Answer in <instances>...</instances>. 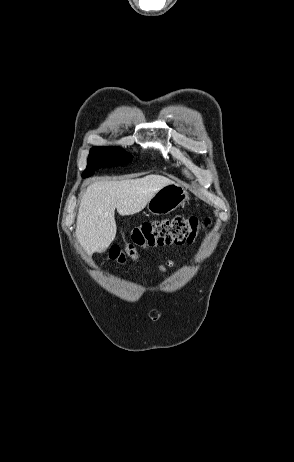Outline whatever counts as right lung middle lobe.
Wrapping results in <instances>:
<instances>
[{"label":"right lung middle lobe","instance_id":"right-lung-middle-lobe-1","mask_svg":"<svg viewBox=\"0 0 294 462\" xmlns=\"http://www.w3.org/2000/svg\"><path fill=\"white\" fill-rule=\"evenodd\" d=\"M96 154L106 155L114 159L116 162L120 164H127L128 162L131 161V156L128 153H126L124 150L118 147H97L95 146L91 149L89 158L95 156ZM86 170L83 173H86L87 172Z\"/></svg>","mask_w":294,"mask_h":462}]
</instances>
